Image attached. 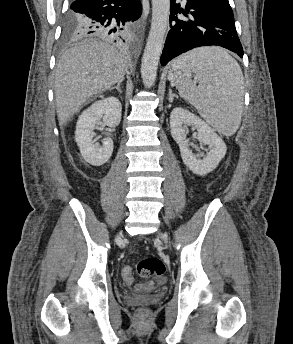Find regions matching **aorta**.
Masks as SVG:
<instances>
[{
    "instance_id": "aorta-1",
    "label": "aorta",
    "mask_w": 293,
    "mask_h": 344,
    "mask_svg": "<svg viewBox=\"0 0 293 344\" xmlns=\"http://www.w3.org/2000/svg\"><path fill=\"white\" fill-rule=\"evenodd\" d=\"M170 0H152V21L141 64V77L145 87L154 85L158 63L168 26Z\"/></svg>"
}]
</instances>
